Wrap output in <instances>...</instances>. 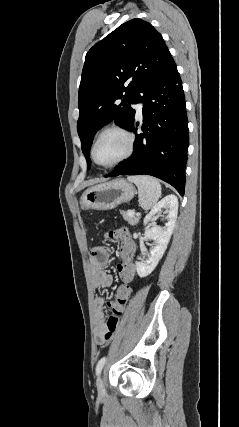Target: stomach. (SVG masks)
Segmentation results:
<instances>
[{"label": "stomach", "instance_id": "stomach-1", "mask_svg": "<svg viewBox=\"0 0 239 427\" xmlns=\"http://www.w3.org/2000/svg\"><path fill=\"white\" fill-rule=\"evenodd\" d=\"M135 192L131 183L119 178L88 188L82 195L81 204L85 209L111 210L129 202Z\"/></svg>", "mask_w": 239, "mask_h": 427}]
</instances>
